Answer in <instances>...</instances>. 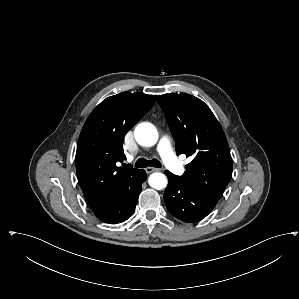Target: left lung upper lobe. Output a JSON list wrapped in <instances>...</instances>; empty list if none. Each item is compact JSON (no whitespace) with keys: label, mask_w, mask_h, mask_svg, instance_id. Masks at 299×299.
<instances>
[{"label":"left lung upper lobe","mask_w":299,"mask_h":299,"mask_svg":"<svg viewBox=\"0 0 299 299\" xmlns=\"http://www.w3.org/2000/svg\"><path fill=\"white\" fill-rule=\"evenodd\" d=\"M158 104L175 138L177 154L193 158L177 177L218 202L232 176V159L220 123L202 100L189 94L160 95Z\"/></svg>","instance_id":"obj_1"}]
</instances>
